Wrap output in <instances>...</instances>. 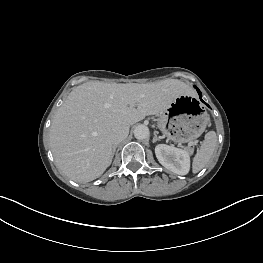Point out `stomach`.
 <instances>
[{
	"label": "stomach",
	"instance_id": "obj_1",
	"mask_svg": "<svg viewBox=\"0 0 263 263\" xmlns=\"http://www.w3.org/2000/svg\"><path fill=\"white\" fill-rule=\"evenodd\" d=\"M209 123V116L190 94L177 97L157 118L160 131L178 142L198 138Z\"/></svg>",
	"mask_w": 263,
	"mask_h": 263
}]
</instances>
